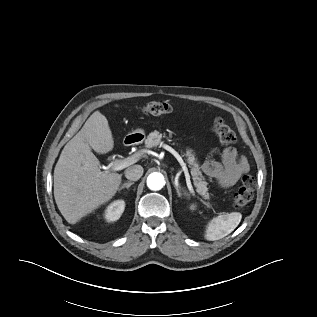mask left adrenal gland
Returning <instances> with one entry per match:
<instances>
[{
  "label": "left adrenal gland",
  "instance_id": "a2214340",
  "mask_svg": "<svg viewBox=\"0 0 317 317\" xmlns=\"http://www.w3.org/2000/svg\"><path fill=\"white\" fill-rule=\"evenodd\" d=\"M173 183H174V182H173ZM174 187H175V189H176V192H177L178 197L182 198V195L185 196V197H189V196H190V194H189L188 192L184 191V190H182V191H183V194H182V193L180 192L181 189H180L175 183H174Z\"/></svg>",
  "mask_w": 317,
  "mask_h": 317
}]
</instances>
